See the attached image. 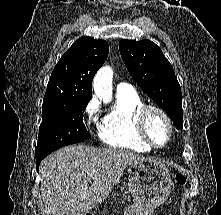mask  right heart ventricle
<instances>
[{
  "label": "right heart ventricle",
  "mask_w": 221,
  "mask_h": 215,
  "mask_svg": "<svg viewBox=\"0 0 221 215\" xmlns=\"http://www.w3.org/2000/svg\"><path fill=\"white\" fill-rule=\"evenodd\" d=\"M143 105L145 102L136 91L117 92L115 105L99 124L101 141L112 147L150 152L152 148L140 138L136 128V114Z\"/></svg>",
  "instance_id": "e07e8e85"
}]
</instances>
